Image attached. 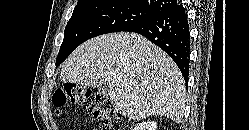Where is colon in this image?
<instances>
[{
	"label": "colon",
	"mask_w": 249,
	"mask_h": 130,
	"mask_svg": "<svg viewBox=\"0 0 249 130\" xmlns=\"http://www.w3.org/2000/svg\"><path fill=\"white\" fill-rule=\"evenodd\" d=\"M52 104L57 110L66 105H79L99 120L102 130H114L115 116L110 102L90 89L64 83L54 91Z\"/></svg>",
	"instance_id": "colon-1"
}]
</instances>
